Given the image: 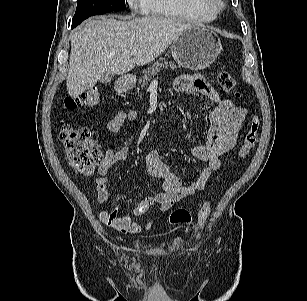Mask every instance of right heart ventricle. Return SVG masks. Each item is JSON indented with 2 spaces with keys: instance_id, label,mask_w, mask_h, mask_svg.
<instances>
[{
  "instance_id": "right-heart-ventricle-1",
  "label": "right heart ventricle",
  "mask_w": 307,
  "mask_h": 301,
  "mask_svg": "<svg viewBox=\"0 0 307 301\" xmlns=\"http://www.w3.org/2000/svg\"><path fill=\"white\" fill-rule=\"evenodd\" d=\"M146 12L150 15L191 23L213 21L217 12L195 0H148Z\"/></svg>"
}]
</instances>
